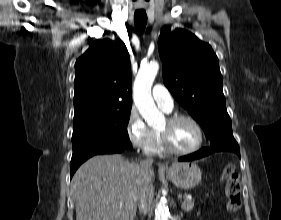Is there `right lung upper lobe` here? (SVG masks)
Wrapping results in <instances>:
<instances>
[{
    "mask_svg": "<svg viewBox=\"0 0 281 220\" xmlns=\"http://www.w3.org/2000/svg\"><path fill=\"white\" fill-rule=\"evenodd\" d=\"M74 118L131 110L130 57L117 39L94 42L75 63Z\"/></svg>",
    "mask_w": 281,
    "mask_h": 220,
    "instance_id": "1",
    "label": "right lung upper lobe"
}]
</instances>
